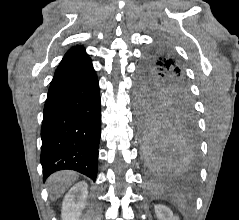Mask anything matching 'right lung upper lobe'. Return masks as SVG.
<instances>
[{
	"instance_id": "1",
	"label": "right lung upper lobe",
	"mask_w": 239,
	"mask_h": 220,
	"mask_svg": "<svg viewBox=\"0 0 239 220\" xmlns=\"http://www.w3.org/2000/svg\"><path fill=\"white\" fill-rule=\"evenodd\" d=\"M90 60L85 50L81 46L71 48L64 56L55 74L70 69L78 64Z\"/></svg>"
}]
</instances>
